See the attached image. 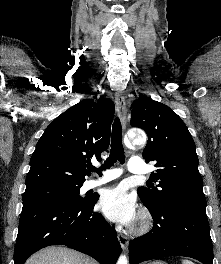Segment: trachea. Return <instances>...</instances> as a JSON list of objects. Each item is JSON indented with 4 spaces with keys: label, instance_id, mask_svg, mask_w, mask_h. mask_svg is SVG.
<instances>
[{
    "label": "trachea",
    "instance_id": "3493384b",
    "mask_svg": "<svg viewBox=\"0 0 221 264\" xmlns=\"http://www.w3.org/2000/svg\"><path fill=\"white\" fill-rule=\"evenodd\" d=\"M117 160L123 164L125 161L124 149L122 145V127L119 118H116L112 126L111 135V152L105 163L100 167V170L110 168L117 162ZM90 171H95L101 174V171L96 167H89Z\"/></svg>",
    "mask_w": 221,
    "mask_h": 264
}]
</instances>
